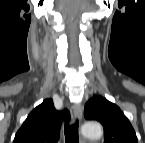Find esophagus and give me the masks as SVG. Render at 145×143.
I'll return each instance as SVG.
<instances>
[{
    "mask_svg": "<svg viewBox=\"0 0 145 143\" xmlns=\"http://www.w3.org/2000/svg\"><path fill=\"white\" fill-rule=\"evenodd\" d=\"M72 119L75 122L76 120H82V108L78 104H73L70 108Z\"/></svg>",
    "mask_w": 145,
    "mask_h": 143,
    "instance_id": "esophagus-1",
    "label": "esophagus"
}]
</instances>
